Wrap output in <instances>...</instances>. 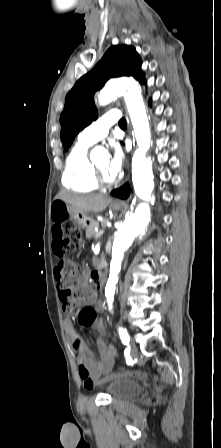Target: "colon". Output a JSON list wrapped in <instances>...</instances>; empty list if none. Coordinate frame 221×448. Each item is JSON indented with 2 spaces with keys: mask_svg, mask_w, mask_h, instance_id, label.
<instances>
[{
  "mask_svg": "<svg viewBox=\"0 0 221 448\" xmlns=\"http://www.w3.org/2000/svg\"><path fill=\"white\" fill-rule=\"evenodd\" d=\"M53 218L58 222L55 228V234L61 239V243L57 245L60 252L59 264L55 271L56 282L59 287V296L64 304L71 303L79 287V278L76 275L73 263L67 258V254L78 250L81 246V232L78 229L73 218L65 215V208L63 205H57L53 210ZM85 326L91 325L97 318V313L92 306H85L82 311ZM80 377L83 386L87 390H91L94 386L100 383L99 380L93 379L90 376L85 365L79 366ZM135 377H146V372L136 371L129 373Z\"/></svg>",
  "mask_w": 221,
  "mask_h": 448,
  "instance_id": "colon-1",
  "label": "colon"
}]
</instances>
